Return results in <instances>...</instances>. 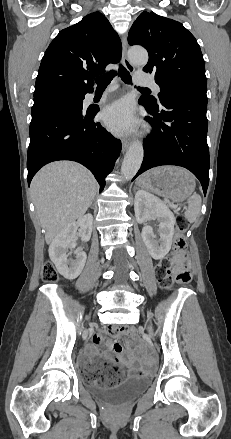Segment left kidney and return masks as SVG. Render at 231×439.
<instances>
[{"instance_id": "5707ae66", "label": "left kidney", "mask_w": 231, "mask_h": 439, "mask_svg": "<svg viewBox=\"0 0 231 439\" xmlns=\"http://www.w3.org/2000/svg\"><path fill=\"white\" fill-rule=\"evenodd\" d=\"M134 210L138 223H144L150 216L159 222V240L155 239L153 228L148 225L143 227L141 236L153 259L164 258L172 245L176 221L173 213L159 198L144 190L136 192Z\"/></svg>"}]
</instances>
